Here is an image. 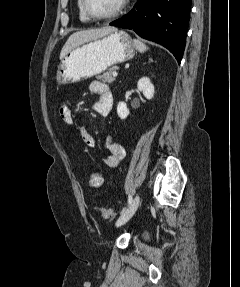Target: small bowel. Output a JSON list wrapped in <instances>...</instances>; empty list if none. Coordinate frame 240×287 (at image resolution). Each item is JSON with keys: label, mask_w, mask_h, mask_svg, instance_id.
I'll return each instance as SVG.
<instances>
[{"label": "small bowel", "mask_w": 240, "mask_h": 287, "mask_svg": "<svg viewBox=\"0 0 240 287\" xmlns=\"http://www.w3.org/2000/svg\"><path fill=\"white\" fill-rule=\"evenodd\" d=\"M89 89L92 94L98 97V101L93 105L94 111L101 116H107L113 106L111 89L107 84L101 81H93ZM59 115L65 123L78 126L81 139L86 146H95L93 136L82 124L77 122L73 111L68 105L61 104L59 106ZM104 147L108 152V155L103 160L104 165L108 168L117 167L126 155L125 149L110 137L106 139Z\"/></svg>", "instance_id": "1"}]
</instances>
